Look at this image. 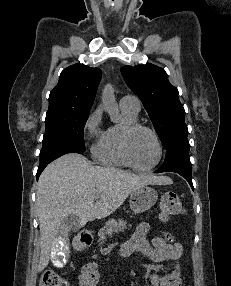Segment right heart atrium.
Returning a JSON list of instances; mask_svg holds the SVG:
<instances>
[{"label":"right heart atrium","mask_w":231,"mask_h":286,"mask_svg":"<svg viewBox=\"0 0 231 286\" xmlns=\"http://www.w3.org/2000/svg\"><path fill=\"white\" fill-rule=\"evenodd\" d=\"M102 109L96 108L87 118L84 125V135L87 140H98L101 138L103 131L101 129Z\"/></svg>","instance_id":"right-heart-atrium-1"}]
</instances>
